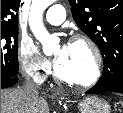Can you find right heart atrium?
Returning a JSON list of instances; mask_svg holds the SVG:
<instances>
[{"instance_id": "d8ad5b80", "label": "right heart atrium", "mask_w": 123, "mask_h": 113, "mask_svg": "<svg viewBox=\"0 0 123 113\" xmlns=\"http://www.w3.org/2000/svg\"><path fill=\"white\" fill-rule=\"evenodd\" d=\"M18 62L24 75L36 83L42 82L50 73L48 60L29 40H21L18 46Z\"/></svg>"}]
</instances>
